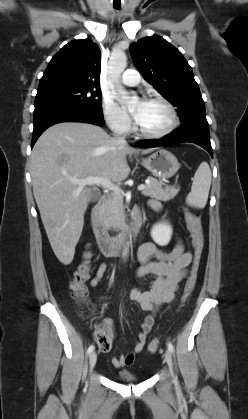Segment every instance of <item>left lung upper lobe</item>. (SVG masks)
<instances>
[{
    "instance_id": "1",
    "label": "left lung upper lobe",
    "mask_w": 248,
    "mask_h": 419,
    "mask_svg": "<svg viewBox=\"0 0 248 419\" xmlns=\"http://www.w3.org/2000/svg\"><path fill=\"white\" fill-rule=\"evenodd\" d=\"M130 53L144 79L178 107L182 122L206 115L192 68L178 49L163 37L153 35L132 43Z\"/></svg>"
}]
</instances>
